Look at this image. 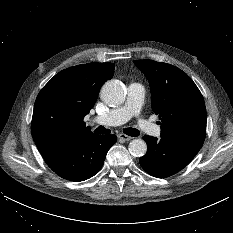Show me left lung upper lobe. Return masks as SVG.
<instances>
[{
    "mask_svg": "<svg viewBox=\"0 0 233 233\" xmlns=\"http://www.w3.org/2000/svg\"><path fill=\"white\" fill-rule=\"evenodd\" d=\"M150 82L151 103L161 122V137L203 143L206 107L193 80L179 68L153 60H134Z\"/></svg>",
    "mask_w": 233,
    "mask_h": 233,
    "instance_id": "1",
    "label": "left lung upper lobe"
}]
</instances>
